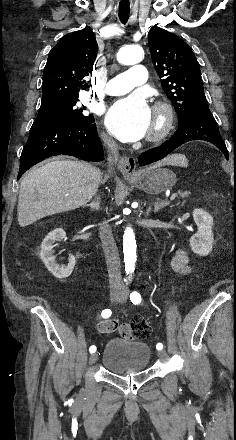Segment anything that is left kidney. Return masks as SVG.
<instances>
[{
	"label": "left kidney",
	"mask_w": 236,
	"mask_h": 440,
	"mask_svg": "<svg viewBox=\"0 0 236 440\" xmlns=\"http://www.w3.org/2000/svg\"><path fill=\"white\" fill-rule=\"evenodd\" d=\"M193 219L198 227V232L189 240L191 250L199 256H207L212 251L214 244L213 217L203 209H194Z\"/></svg>",
	"instance_id": "left-kidney-1"
}]
</instances>
